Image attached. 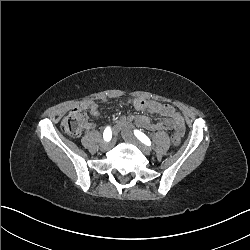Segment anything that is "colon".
Returning a JSON list of instances; mask_svg holds the SVG:
<instances>
[{"instance_id":"colon-1","label":"colon","mask_w":250,"mask_h":250,"mask_svg":"<svg viewBox=\"0 0 250 250\" xmlns=\"http://www.w3.org/2000/svg\"><path fill=\"white\" fill-rule=\"evenodd\" d=\"M86 123V116L82 109L75 108L69 112L61 122V130L70 137L78 136ZM170 141L175 147L181 144V138L176 131L170 132Z\"/></svg>"}]
</instances>
